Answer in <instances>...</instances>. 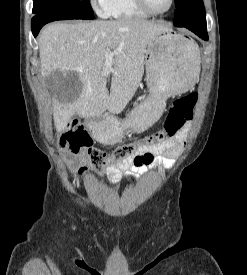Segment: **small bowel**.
I'll list each match as a JSON object with an SVG mask.
<instances>
[{
    "instance_id": "small-bowel-1",
    "label": "small bowel",
    "mask_w": 247,
    "mask_h": 275,
    "mask_svg": "<svg viewBox=\"0 0 247 275\" xmlns=\"http://www.w3.org/2000/svg\"><path fill=\"white\" fill-rule=\"evenodd\" d=\"M187 133L188 126L172 139L141 148L138 152L139 161L129 158L121 162H110L105 171L109 182L116 184L125 176L138 178L140 175L146 174L155 164L169 167L172 164V158L182 148ZM66 158L69 170L75 173L74 180L80 181L86 171L83 166V154L66 153Z\"/></svg>"
}]
</instances>
